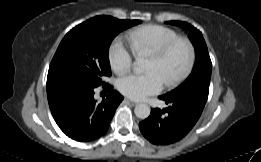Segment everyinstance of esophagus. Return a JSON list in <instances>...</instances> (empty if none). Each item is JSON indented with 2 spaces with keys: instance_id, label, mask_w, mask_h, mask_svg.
I'll return each instance as SVG.
<instances>
[{
  "instance_id": "esophagus-1",
  "label": "esophagus",
  "mask_w": 261,
  "mask_h": 162,
  "mask_svg": "<svg viewBox=\"0 0 261 162\" xmlns=\"http://www.w3.org/2000/svg\"><path fill=\"white\" fill-rule=\"evenodd\" d=\"M124 100H125V102H127V103H129L131 105H136L137 104L136 102H134V101H132V100H130L128 98H125Z\"/></svg>"
}]
</instances>
